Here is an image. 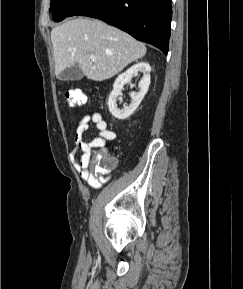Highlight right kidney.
<instances>
[{"mask_svg": "<svg viewBox=\"0 0 243 289\" xmlns=\"http://www.w3.org/2000/svg\"><path fill=\"white\" fill-rule=\"evenodd\" d=\"M138 72L143 74L142 79L140 80L138 87L139 92H132L131 104L125 106L123 109L117 107L116 101L117 97L120 95L121 90L123 89L124 84L129 83L134 75ZM150 72L151 67L147 62H138L124 73L120 74L113 84V90L108 99V107L110 113L119 120H124L134 113L138 108L144 96L146 95L149 85H150Z\"/></svg>", "mask_w": 243, "mask_h": 289, "instance_id": "right-kidney-1", "label": "right kidney"}]
</instances>
